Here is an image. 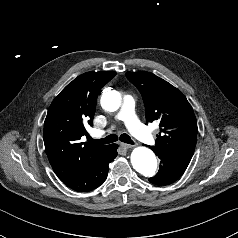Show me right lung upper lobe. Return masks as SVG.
<instances>
[{
    "label": "right lung upper lobe",
    "mask_w": 238,
    "mask_h": 238,
    "mask_svg": "<svg viewBox=\"0 0 238 238\" xmlns=\"http://www.w3.org/2000/svg\"><path fill=\"white\" fill-rule=\"evenodd\" d=\"M116 72H86L69 83L53 100L45 122L43 140L49 162L63 182L78 176L109 145L80 142L85 124L92 125L100 88Z\"/></svg>",
    "instance_id": "cb5924a9"
}]
</instances>
